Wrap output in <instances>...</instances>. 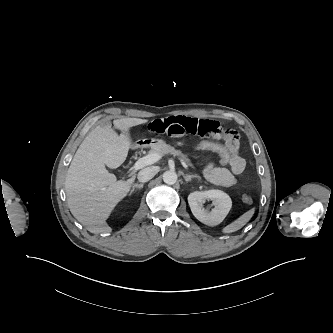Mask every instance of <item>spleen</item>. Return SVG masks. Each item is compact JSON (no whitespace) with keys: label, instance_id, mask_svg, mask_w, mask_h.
I'll list each match as a JSON object with an SVG mask.
<instances>
[{"label":"spleen","instance_id":"spleen-1","mask_svg":"<svg viewBox=\"0 0 333 333\" xmlns=\"http://www.w3.org/2000/svg\"><path fill=\"white\" fill-rule=\"evenodd\" d=\"M255 213V209L252 208L242 214L239 218L234 220L232 223L228 224L222 229V233L229 234L240 230L244 225H246Z\"/></svg>","mask_w":333,"mask_h":333}]
</instances>
